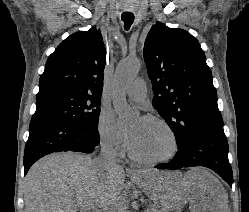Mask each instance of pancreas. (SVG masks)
Segmentation results:
<instances>
[{"mask_svg": "<svg viewBox=\"0 0 249 212\" xmlns=\"http://www.w3.org/2000/svg\"><path fill=\"white\" fill-rule=\"evenodd\" d=\"M148 212H164V210H166V208H162V210H159L158 206H156V204H152V206H149V208H147Z\"/></svg>", "mask_w": 249, "mask_h": 212, "instance_id": "cf45deb5", "label": "pancreas"}]
</instances>
